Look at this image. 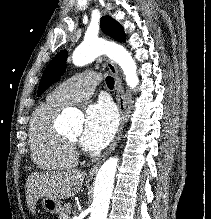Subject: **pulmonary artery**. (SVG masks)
<instances>
[{
	"label": "pulmonary artery",
	"mask_w": 211,
	"mask_h": 219,
	"mask_svg": "<svg viewBox=\"0 0 211 219\" xmlns=\"http://www.w3.org/2000/svg\"><path fill=\"white\" fill-rule=\"evenodd\" d=\"M99 80V75L96 72L81 73L60 84L48 96V99L61 106L77 103L92 95Z\"/></svg>",
	"instance_id": "e3ab8cb5"
}]
</instances>
